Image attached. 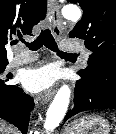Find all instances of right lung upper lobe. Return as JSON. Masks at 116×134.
I'll use <instances>...</instances> for the list:
<instances>
[{
    "label": "right lung upper lobe",
    "mask_w": 116,
    "mask_h": 134,
    "mask_svg": "<svg viewBox=\"0 0 116 134\" xmlns=\"http://www.w3.org/2000/svg\"><path fill=\"white\" fill-rule=\"evenodd\" d=\"M47 0H0V62H8L5 46L13 36L30 35L45 18Z\"/></svg>",
    "instance_id": "cb5924a9"
}]
</instances>
